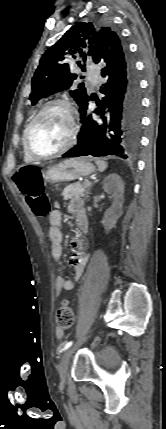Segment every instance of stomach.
<instances>
[{
    "instance_id": "1",
    "label": "stomach",
    "mask_w": 166,
    "mask_h": 429,
    "mask_svg": "<svg viewBox=\"0 0 166 429\" xmlns=\"http://www.w3.org/2000/svg\"><path fill=\"white\" fill-rule=\"evenodd\" d=\"M95 172V166L85 159H68L48 167L45 171V181L51 184L68 182Z\"/></svg>"
}]
</instances>
